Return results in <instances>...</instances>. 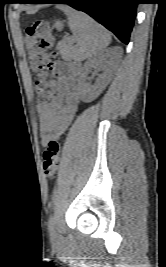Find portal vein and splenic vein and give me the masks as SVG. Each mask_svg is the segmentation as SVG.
<instances>
[{
    "instance_id": "portal-vein-and-splenic-vein-1",
    "label": "portal vein and splenic vein",
    "mask_w": 166,
    "mask_h": 267,
    "mask_svg": "<svg viewBox=\"0 0 166 267\" xmlns=\"http://www.w3.org/2000/svg\"><path fill=\"white\" fill-rule=\"evenodd\" d=\"M67 40H69L70 42H72L73 40L72 39H70V38H68Z\"/></svg>"
}]
</instances>
